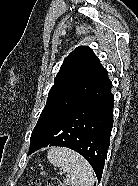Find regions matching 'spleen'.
Masks as SVG:
<instances>
[{
	"label": "spleen",
	"mask_w": 138,
	"mask_h": 186,
	"mask_svg": "<svg viewBox=\"0 0 138 186\" xmlns=\"http://www.w3.org/2000/svg\"><path fill=\"white\" fill-rule=\"evenodd\" d=\"M48 161L67 172V186H94V173L90 164L78 153L63 147H52Z\"/></svg>",
	"instance_id": "1"
}]
</instances>
